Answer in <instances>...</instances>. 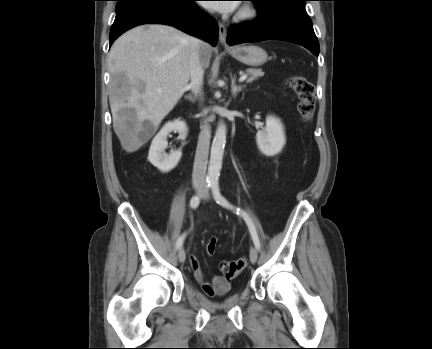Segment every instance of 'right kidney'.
I'll use <instances>...</instances> for the list:
<instances>
[{
  "label": "right kidney",
  "mask_w": 432,
  "mask_h": 349,
  "mask_svg": "<svg viewBox=\"0 0 432 349\" xmlns=\"http://www.w3.org/2000/svg\"><path fill=\"white\" fill-rule=\"evenodd\" d=\"M172 131H178L179 138L185 140L188 133L185 121L174 120L166 123L152 140L149 149V162L161 172H169L174 169L182 156L181 150L171 151L170 154L165 153L168 146L167 136Z\"/></svg>",
  "instance_id": "ca27d5eb"
}]
</instances>
